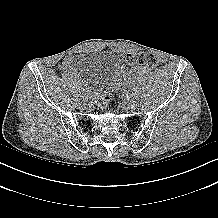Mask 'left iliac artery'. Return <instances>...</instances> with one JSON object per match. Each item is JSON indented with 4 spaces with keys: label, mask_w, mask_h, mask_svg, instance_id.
Wrapping results in <instances>:
<instances>
[{
    "label": "left iliac artery",
    "mask_w": 218,
    "mask_h": 218,
    "mask_svg": "<svg viewBox=\"0 0 218 218\" xmlns=\"http://www.w3.org/2000/svg\"><path fill=\"white\" fill-rule=\"evenodd\" d=\"M126 98H128L129 100H133L134 96L131 95V93H126Z\"/></svg>",
    "instance_id": "1"
}]
</instances>
